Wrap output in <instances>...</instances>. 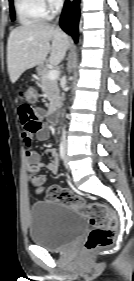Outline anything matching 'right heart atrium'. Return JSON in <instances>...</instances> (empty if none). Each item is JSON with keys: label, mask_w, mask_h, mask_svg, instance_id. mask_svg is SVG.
Segmentation results:
<instances>
[{"label": "right heart atrium", "mask_w": 134, "mask_h": 281, "mask_svg": "<svg viewBox=\"0 0 134 281\" xmlns=\"http://www.w3.org/2000/svg\"><path fill=\"white\" fill-rule=\"evenodd\" d=\"M42 1L48 12L55 11L62 4V0H42Z\"/></svg>", "instance_id": "d8ad5b80"}]
</instances>
